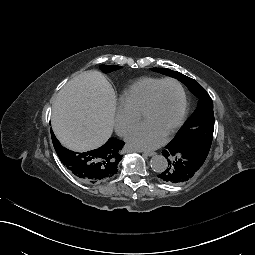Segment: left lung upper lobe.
<instances>
[{
  "instance_id": "1",
  "label": "left lung upper lobe",
  "mask_w": 255,
  "mask_h": 255,
  "mask_svg": "<svg viewBox=\"0 0 255 255\" xmlns=\"http://www.w3.org/2000/svg\"><path fill=\"white\" fill-rule=\"evenodd\" d=\"M151 70L178 79L183 84H185L194 95L199 98L197 109L183 125V130L181 131L180 129L179 131L181 132L176 134L172 141H174L178 146L184 144L190 147L191 150L196 151V153L205 160L208 153L211 152L210 147L214 131V113L211 97L208 95L205 89L200 86L194 79L187 77L177 71H172L167 68H151Z\"/></svg>"
}]
</instances>
